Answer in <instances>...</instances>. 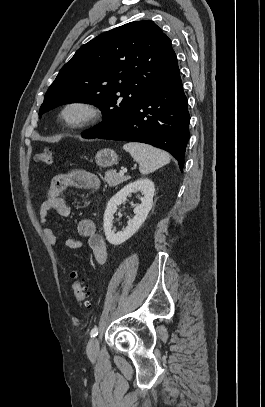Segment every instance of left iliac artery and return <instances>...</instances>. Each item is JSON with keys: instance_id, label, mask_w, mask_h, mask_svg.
Masks as SVG:
<instances>
[{"instance_id": "44dca946", "label": "left iliac artery", "mask_w": 265, "mask_h": 407, "mask_svg": "<svg viewBox=\"0 0 265 407\" xmlns=\"http://www.w3.org/2000/svg\"><path fill=\"white\" fill-rule=\"evenodd\" d=\"M91 337H96L98 335V327H94L90 332Z\"/></svg>"}]
</instances>
